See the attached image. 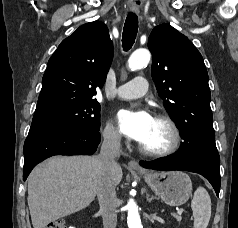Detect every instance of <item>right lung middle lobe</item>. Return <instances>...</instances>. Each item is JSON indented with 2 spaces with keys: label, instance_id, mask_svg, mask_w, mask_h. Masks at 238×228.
Here are the masks:
<instances>
[{
  "label": "right lung middle lobe",
  "instance_id": "right-lung-middle-lobe-1",
  "mask_svg": "<svg viewBox=\"0 0 238 228\" xmlns=\"http://www.w3.org/2000/svg\"><path fill=\"white\" fill-rule=\"evenodd\" d=\"M32 124L71 125L99 131L100 104L96 100L80 102L50 114L33 117Z\"/></svg>",
  "mask_w": 238,
  "mask_h": 228
}]
</instances>
